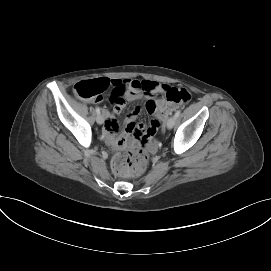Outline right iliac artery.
I'll list each match as a JSON object with an SVG mask.
<instances>
[{
  "label": "right iliac artery",
  "mask_w": 271,
  "mask_h": 271,
  "mask_svg": "<svg viewBox=\"0 0 271 271\" xmlns=\"http://www.w3.org/2000/svg\"><path fill=\"white\" fill-rule=\"evenodd\" d=\"M96 112H97V114H100V108L99 107H96Z\"/></svg>",
  "instance_id": "obj_1"
}]
</instances>
